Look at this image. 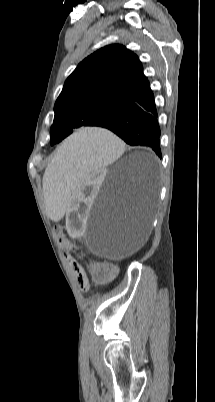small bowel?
Masks as SVG:
<instances>
[{
  "label": "small bowel",
  "instance_id": "1",
  "mask_svg": "<svg viewBox=\"0 0 215 402\" xmlns=\"http://www.w3.org/2000/svg\"><path fill=\"white\" fill-rule=\"evenodd\" d=\"M78 281L83 289H88L89 282L85 272L82 270L78 275Z\"/></svg>",
  "mask_w": 215,
  "mask_h": 402
}]
</instances>
